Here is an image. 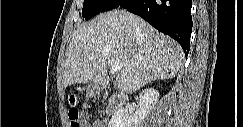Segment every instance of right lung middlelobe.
Wrapping results in <instances>:
<instances>
[{
  "label": "right lung middle lobe",
  "instance_id": "1",
  "mask_svg": "<svg viewBox=\"0 0 243 127\" xmlns=\"http://www.w3.org/2000/svg\"><path fill=\"white\" fill-rule=\"evenodd\" d=\"M120 0H84L82 17L86 20L100 12L113 9Z\"/></svg>",
  "mask_w": 243,
  "mask_h": 127
}]
</instances>
